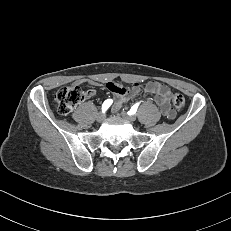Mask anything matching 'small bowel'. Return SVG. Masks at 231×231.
Here are the masks:
<instances>
[{
	"instance_id": "c3829d8e",
	"label": "small bowel",
	"mask_w": 231,
	"mask_h": 231,
	"mask_svg": "<svg viewBox=\"0 0 231 231\" xmlns=\"http://www.w3.org/2000/svg\"><path fill=\"white\" fill-rule=\"evenodd\" d=\"M78 83H80V84L81 83H87V84H91V85H96L95 81L88 80V79H81L78 81ZM107 88L111 92L116 94V96L118 97V99L114 105L115 109H118L122 105V103L127 99V97L129 95L135 94L139 91L138 84H134L132 87L127 89L124 86L110 82L107 84ZM145 89L148 93L155 95L156 104L159 106L162 114L165 117H167L169 119H172L175 117L176 112L170 105L171 91L166 85L161 84V83L156 82V81H150L147 83ZM94 94H95V91L90 90V91H88L87 96L92 97Z\"/></svg>"
}]
</instances>
